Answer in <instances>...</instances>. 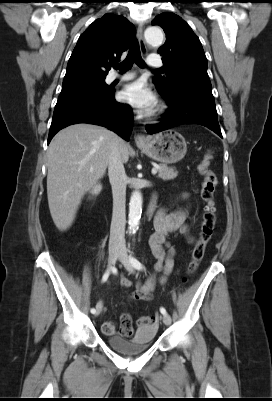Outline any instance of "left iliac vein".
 <instances>
[{"instance_id":"4c4485c4","label":"left iliac vein","mask_w":272,"mask_h":401,"mask_svg":"<svg viewBox=\"0 0 272 401\" xmlns=\"http://www.w3.org/2000/svg\"><path fill=\"white\" fill-rule=\"evenodd\" d=\"M119 260L120 262L124 265L125 269L129 271L130 273L134 272V268L130 262V259L128 257V254L125 250L124 247L121 248L120 253H119ZM162 321L165 325H170L171 324V318L169 315H163L162 316Z\"/></svg>"}]
</instances>
